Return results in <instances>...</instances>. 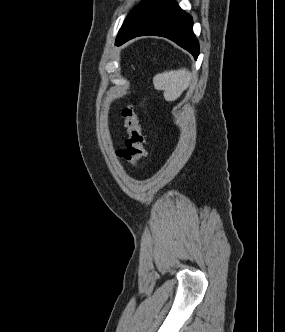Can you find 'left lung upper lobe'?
<instances>
[{"label": "left lung upper lobe", "instance_id": "1", "mask_svg": "<svg viewBox=\"0 0 285 332\" xmlns=\"http://www.w3.org/2000/svg\"><path fill=\"white\" fill-rule=\"evenodd\" d=\"M151 2V0H142L137 6L126 17L121 29L119 30L118 35H120L127 26L138 16V14Z\"/></svg>", "mask_w": 285, "mask_h": 332}]
</instances>
